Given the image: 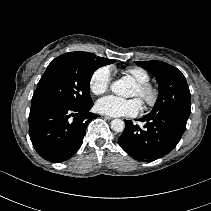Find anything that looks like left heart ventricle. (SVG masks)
Returning a JSON list of instances; mask_svg holds the SVG:
<instances>
[{
	"mask_svg": "<svg viewBox=\"0 0 211 211\" xmlns=\"http://www.w3.org/2000/svg\"><path fill=\"white\" fill-rule=\"evenodd\" d=\"M132 96H134V97H140V91H139V89H138L137 86L135 87Z\"/></svg>",
	"mask_w": 211,
	"mask_h": 211,
	"instance_id": "1",
	"label": "left heart ventricle"
}]
</instances>
